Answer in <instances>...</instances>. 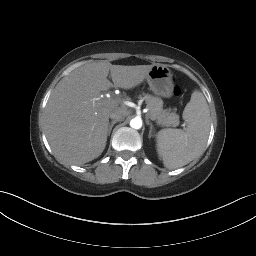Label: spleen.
<instances>
[{
	"label": "spleen",
	"instance_id": "1",
	"mask_svg": "<svg viewBox=\"0 0 256 256\" xmlns=\"http://www.w3.org/2000/svg\"><path fill=\"white\" fill-rule=\"evenodd\" d=\"M185 130L162 129L157 133V152L165 167H182L201 154L209 135L210 111L204 95L195 90L185 106Z\"/></svg>",
	"mask_w": 256,
	"mask_h": 256
}]
</instances>
